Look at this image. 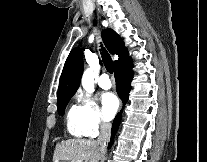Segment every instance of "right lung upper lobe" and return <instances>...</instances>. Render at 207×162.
Masks as SVG:
<instances>
[{
  "label": "right lung upper lobe",
  "instance_id": "cb5924a9",
  "mask_svg": "<svg viewBox=\"0 0 207 162\" xmlns=\"http://www.w3.org/2000/svg\"><path fill=\"white\" fill-rule=\"evenodd\" d=\"M103 41L111 54L118 55V60L114 62V69L128 62L130 59L121 37L112 29H106L102 32ZM83 72L82 51L80 48H74L66 62L61 74L58 89V99L73 96L77 91Z\"/></svg>",
  "mask_w": 207,
  "mask_h": 162
}]
</instances>
